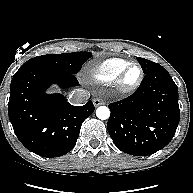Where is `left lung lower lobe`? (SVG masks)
<instances>
[{"label":"left lung lower lobe","instance_id":"obj_1","mask_svg":"<svg viewBox=\"0 0 193 193\" xmlns=\"http://www.w3.org/2000/svg\"><path fill=\"white\" fill-rule=\"evenodd\" d=\"M109 108L107 128L114 144L125 153L148 156L165 147L176 132L178 88L158 65L145 73L132 95L109 104Z\"/></svg>","mask_w":193,"mask_h":193}]
</instances>
